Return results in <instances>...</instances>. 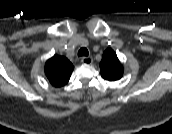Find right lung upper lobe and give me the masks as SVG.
<instances>
[{
	"label": "right lung upper lobe",
	"mask_w": 172,
	"mask_h": 134,
	"mask_svg": "<svg viewBox=\"0 0 172 134\" xmlns=\"http://www.w3.org/2000/svg\"><path fill=\"white\" fill-rule=\"evenodd\" d=\"M73 69L72 63L67 58L59 55H54L47 60L44 68L46 77L55 87L67 84Z\"/></svg>",
	"instance_id": "1"
}]
</instances>
